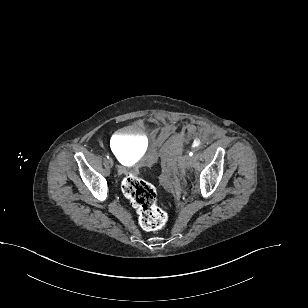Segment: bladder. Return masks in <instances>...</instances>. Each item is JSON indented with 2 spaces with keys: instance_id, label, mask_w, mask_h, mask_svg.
Returning a JSON list of instances; mask_svg holds the SVG:
<instances>
[{
  "instance_id": "1",
  "label": "bladder",
  "mask_w": 308,
  "mask_h": 308,
  "mask_svg": "<svg viewBox=\"0 0 308 308\" xmlns=\"http://www.w3.org/2000/svg\"><path fill=\"white\" fill-rule=\"evenodd\" d=\"M110 145L114 155L123 164L136 161L148 149L145 133L138 126L120 129L113 135Z\"/></svg>"
}]
</instances>
